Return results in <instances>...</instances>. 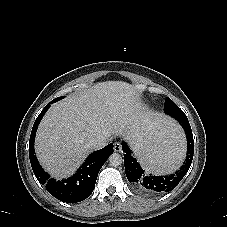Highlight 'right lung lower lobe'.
I'll return each mask as SVG.
<instances>
[{
  "mask_svg": "<svg viewBox=\"0 0 227 227\" xmlns=\"http://www.w3.org/2000/svg\"><path fill=\"white\" fill-rule=\"evenodd\" d=\"M52 103H54L53 100L45 106L34 122L29 141L31 166L37 180L42 185H45L48 192L55 198L67 203L80 202L89 197L93 192L101 167L113 153V144L110 143L106 147L90 154L72 177L62 181L50 179L49 174L42 169L35 156L34 139L40 120Z\"/></svg>",
  "mask_w": 227,
  "mask_h": 227,
  "instance_id": "98d812e1",
  "label": "right lung lower lobe"
}]
</instances>
